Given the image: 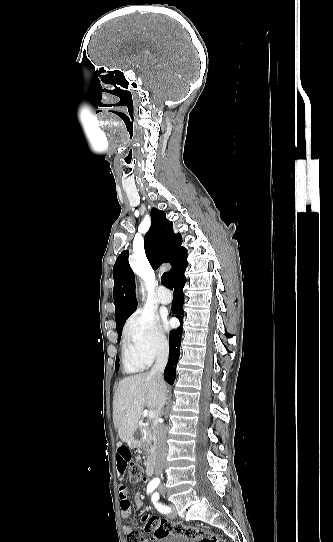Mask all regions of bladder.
<instances>
[{"mask_svg": "<svg viewBox=\"0 0 333 542\" xmlns=\"http://www.w3.org/2000/svg\"><path fill=\"white\" fill-rule=\"evenodd\" d=\"M153 542H197V541L183 534H166L165 536H161L157 538V540Z\"/></svg>", "mask_w": 333, "mask_h": 542, "instance_id": "31cf9c89", "label": "bladder"}]
</instances>
